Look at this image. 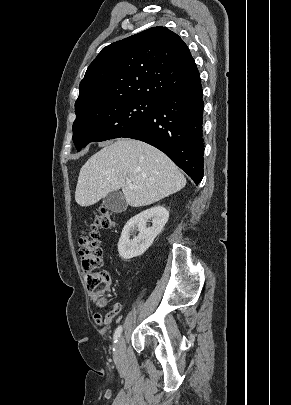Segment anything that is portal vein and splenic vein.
I'll return each mask as SVG.
<instances>
[{
	"label": "portal vein and splenic vein",
	"instance_id": "18ae733b",
	"mask_svg": "<svg viewBox=\"0 0 291 405\" xmlns=\"http://www.w3.org/2000/svg\"><path fill=\"white\" fill-rule=\"evenodd\" d=\"M126 183H127V185H128L129 187H132V188L135 187V185L132 184L131 180H129V179L126 180Z\"/></svg>",
	"mask_w": 291,
	"mask_h": 405
}]
</instances>
